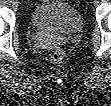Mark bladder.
I'll use <instances>...</instances> for the list:
<instances>
[{"mask_svg": "<svg viewBox=\"0 0 111 106\" xmlns=\"http://www.w3.org/2000/svg\"><path fill=\"white\" fill-rule=\"evenodd\" d=\"M31 23L40 30L73 34L83 28V17L76 7L67 2L44 0L33 9Z\"/></svg>", "mask_w": 111, "mask_h": 106, "instance_id": "obj_1", "label": "bladder"}]
</instances>
